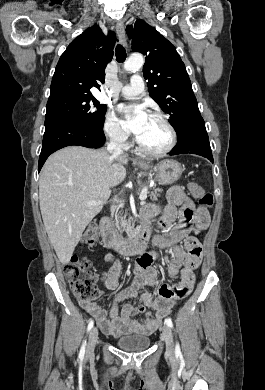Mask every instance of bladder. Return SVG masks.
Listing matches in <instances>:
<instances>
[{"instance_id":"obj_1","label":"bladder","mask_w":265,"mask_h":390,"mask_svg":"<svg viewBox=\"0 0 265 390\" xmlns=\"http://www.w3.org/2000/svg\"><path fill=\"white\" fill-rule=\"evenodd\" d=\"M116 346L127 352H138L146 350L151 340L147 336L143 335H129V336H121L116 339Z\"/></svg>"}]
</instances>
